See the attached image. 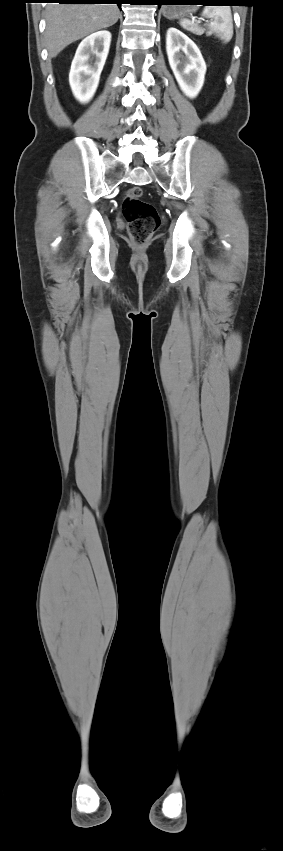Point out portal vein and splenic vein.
I'll use <instances>...</instances> for the list:
<instances>
[{"mask_svg": "<svg viewBox=\"0 0 283 851\" xmlns=\"http://www.w3.org/2000/svg\"><path fill=\"white\" fill-rule=\"evenodd\" d=\"M200 22H201L200 20L197 21V23H200Z\"/></svg>", "mask_w": 283, "mask_h": 851, "instance_id": "18ae733b", "label": "portal vein and splenic vein"}]
</instances>
